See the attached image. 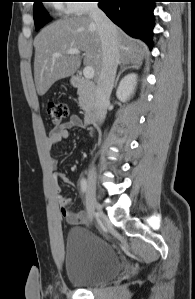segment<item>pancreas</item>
Masks as SVG:
<instances>
[{"mask_svg": "<svg viewBox=\"0 0 195 299\" xmlns=\"http://www.w3.org/2000/svg\"><path fill=\"white\" fill-rule=\"evenodd\" d=\"M77 94L79 95V106L83 110H88L92 105V93L86 86V84H83L77 91Z\"/></svg>", "mask_w": 195, "mask_h": 299, "instance_id": "obj_1", "label": "pancreas"}]
</instances>
